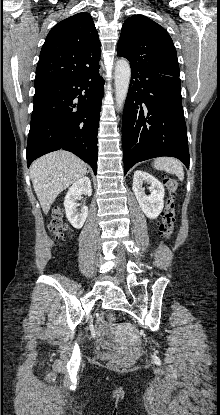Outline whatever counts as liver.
Masks as SVG:
<instances>
[{
	"label": "liver",
	"mask_w": 220,
	"mask_h": 415,
	"mask_svg": "<svg viewBox=\"0 0 220 415\" xmlns=\"http://www.w3.org/2000/svg\"><path fill=\"white\" fill-rule=\"evenodd\" d=\"M86 173V163L67 151L52 152L34 161L30 178L43 212L47 214L55 198Z\"/></svg>",
	"instance_id": "obj_1"
}]
</instances>
